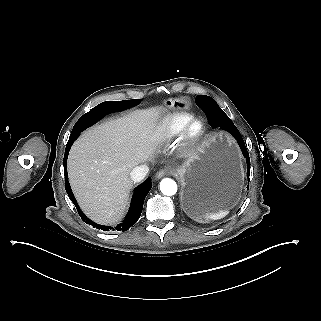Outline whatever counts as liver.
I'll list each match as a JSON object with an SVG mask.
<instances>
[{
    "mask_svg": "<svg viewBox=\"0 0 321 321\" xmlns=\"http://www.w3.org/2000/svg\"><path fill=\"white\" fill-rule=\"evenodd\" d=\"M157 122L155 110L136 111L85 132L72 147L69 180L94 220L112 223L124 212L133 185L130 172L149 158Z\"/></svg>",
    "mask_w": 321,
    "mask_h": 321,
    "instance_id": "obj_1",
    "label": "liver"
}]
</instances>
